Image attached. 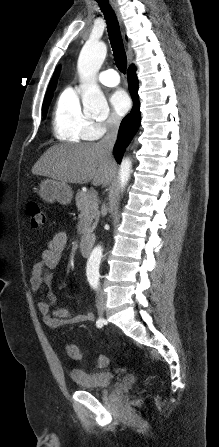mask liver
<instances>
[{"label":"liver","mask_w":219,"mask_h":447,"mask_svg":"<svg viewBox=\"0 0 219 447\" xmlns=\"http://www.w3.org/2000/svg\"><path fill=\"white\" fill-rule=\"evenodd\" d=\"M34 175L64 183L106 186L115 173V162L99 143L59 144L50 147L34 164Z\"/></svg>","instance_id":"obj_1"}]
</instances>
